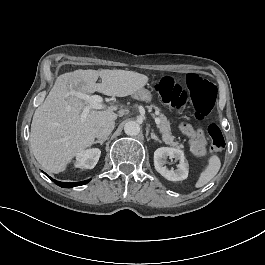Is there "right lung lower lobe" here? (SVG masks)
<instances>
[{
	"mask_svg": "<svg viewBox=\"0 0 265 265\" xmlns=\"http://www.w3.org/2000/svg\"><path fill=\"white\" fill-rule=\"evenodd\" d=\"M50 179H52V178H50ZM54 182L57 185H59L60 187L71 188V187H74V186H77V185L86 184L88 181H81V182H74V183H64V182H59V181L54 180Z\"/></svg>",
	"mask_w": 265,
	"mask_h": 265,
	"instance_id": "98d812e1",
	"label": "right lung lower lobe"
}]
</instances>
